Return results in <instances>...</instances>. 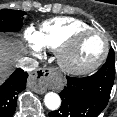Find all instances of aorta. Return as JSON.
Segmentation results:
<instances>
[{"label":"aorta","instance_id":"aorta-1","mask_svg":"<svg viewBox=\"0 0 117 117\" xmlns=\"http://www.w3.org/2000/svg\"><path fill=\"white\" fill-rule=\"evenodd\" d=\"M45 106L49 110H57L61 105V98L54 92H49L44 97Z\"/></svg>","mask_w":117,"mask_h":117}]
</instances>
